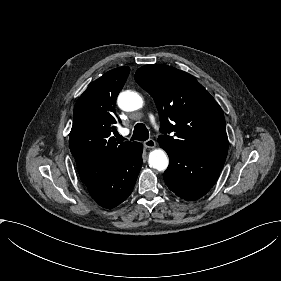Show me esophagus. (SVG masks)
<instances>
[{
    "label": "esophagus",
    "instance_id": "1",
    "mask_svg": "<svg viewBox=\"0 0 281 281\" xmlns=\"http://www.w3.org/2000/svg\"><path fill=\"white\" fill-rule=\"evenodd\" d=\"M143 144L146 148H154L156 146V142L153 139H147Z\"/></svg>",
    "mask_w": 281,
    "mask_h": 281
}]
</instances>
